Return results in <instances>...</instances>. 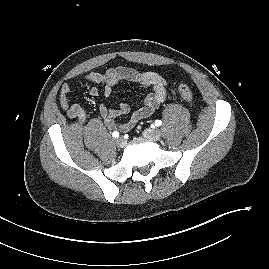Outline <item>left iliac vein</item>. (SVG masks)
Returning a JSON list of instances; mask_svg holds the SVG:
<instances>
[{
    "label": "left iliac vein",
    "mask_w": 269,
    "mask_h": 269,
    "mask_svg": "<svg viewBox=\"0 0 269 269\" xmlns=\"http://www.w3.org/2000/svg\"><path fill=\"white\" fill-rule=\"evenodd\" d=\"M143 136L146 139L157 141L161 137V131L159 129H146L143 131Z\"/></svg>",
    "instance_id": "1"
}]
</instances>
